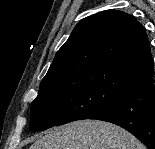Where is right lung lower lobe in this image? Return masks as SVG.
<instances>
[{
    "mask_svg": "<svg viewBox=\"0 0 155 149\" xmlns=\"http://www.w3.org/2000/svg\"><path fill=\"white\" fill-rule=\"evenodd\" d=\"M89 119L116 124L155 149V76L134 87Z\"/></svg>",
    "mask_w": 155,
    "mask_h": 149,
    "instance_id": "obj_1",
    "label": "right lung lower lobe"
}]
</instances>
